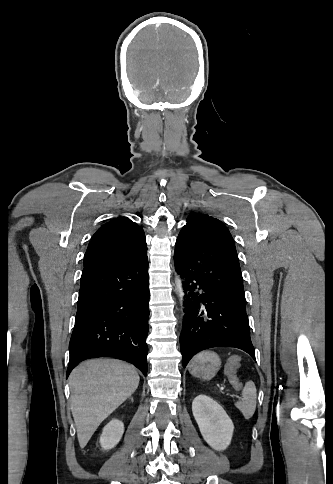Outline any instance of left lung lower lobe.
<instances>
[{
  "label": "left lung lower lobe",
  "instance_id": "obj_1",
  "mask_svg": "<svg viewBox=\"0 0 333 484\" xmlns=\"http://www.w3.org/2000/svg\"><path fill=\"white\" fill-rule=\"evenodd\" d=\"M174 262L183 277L182 365L198 352L235 347L255 360L243 278L233 238L217 219H188L175 244Z\"/></svg>",
  "mask_w": 333,
  "mask_h": 484
}]
</instances>
